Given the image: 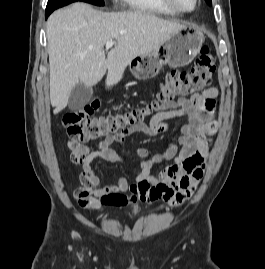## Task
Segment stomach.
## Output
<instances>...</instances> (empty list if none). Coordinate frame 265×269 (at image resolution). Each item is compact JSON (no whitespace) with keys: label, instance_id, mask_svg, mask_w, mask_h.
Returning <instances> with one entry per match:
<instances>
[{"label":"stomach","instance_id":"1","mask_svg":"<svg viewBox=\"0 0 265 269\" xmlns=\"http://www.w3.org/2000/svg\"><path fill=\"white\" fill-rule=\"evenodd\" d=\"M204 39L198 28L185 26L168 36L152 52L135 57L129 63L130 71L134 77L147 80L154 78L163 65L172 68L184 67L196 57Z\"/></svg>","mask_w":265,"mask_h":269}]
</instances>
